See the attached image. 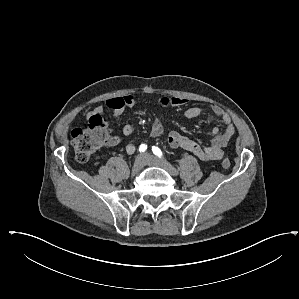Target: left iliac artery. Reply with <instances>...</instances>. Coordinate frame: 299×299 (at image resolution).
Listing matches in <instances>:
<instances>
[{"mask_svg": "<svg viewBox=\"0 0 299 299\" xmlns=\"http://www.w3.org/2000/svg\"><path fill=\"white\" fill-rule=\"evenodd\" d=\"M152 151L156 156H158L159 158H162V156H163L162 152L158 147L153 146Z\"/></svg>", "mask_w": 299, "mask_h": 299, "instance_id": "44dca946", "label": "left iliac artery"}]
</instances>
